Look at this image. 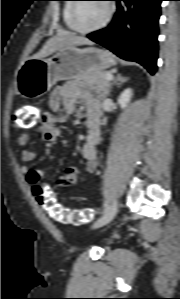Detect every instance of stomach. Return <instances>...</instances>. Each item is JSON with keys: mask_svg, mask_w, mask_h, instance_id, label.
I'll use <instances>...</instances> for the list:
<instances>
[{"mask_svg": "<svg viewBox=\"0 0 180 299\" xmlns=\"http://www.w3.org/2000/svg\"><path fill=\"white\" fill-rule=\"evenodd\" d=\"M115 63L111 53L99 48L66 47L50 58L28 59L17 72V90L25 98H39L57 81L81 79L89 73L103 72Z\"/></svg>", "mask_w": 180, "mask_h": 299, "instance_id": "obj_1", "label": "stomach"}]
</instances>
